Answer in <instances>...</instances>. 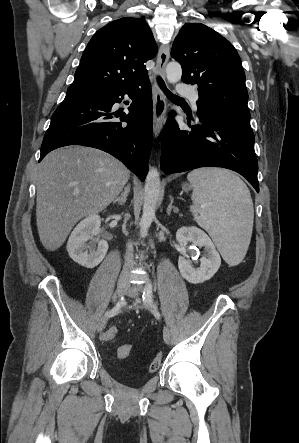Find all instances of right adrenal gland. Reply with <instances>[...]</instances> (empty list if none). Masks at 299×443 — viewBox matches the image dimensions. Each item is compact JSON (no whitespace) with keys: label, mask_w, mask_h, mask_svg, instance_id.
<instances>
[{"label":"right adrenal gland","mask_w":299,"mask_h":443,"mask_svg":"<svg viewBox=\"0 0 299 443\" xmlns=\"http://www.w3.org/2000/svg\"><path fill=\"white\" fill-rule=\"evenodd\" d=\"M129 192H130V185L127 184V186L124 188V191L121 193V195L116 197L113 200V203L114 204L118 203L120 206L124 205L127 200L128 195H129Z\"/></svg>","instance_id":"obj_1"}]
</instances>
